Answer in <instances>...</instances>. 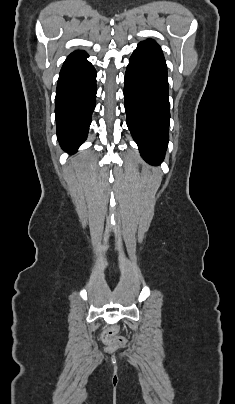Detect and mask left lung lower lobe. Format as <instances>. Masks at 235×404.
I'll use <instances>...</instances> for the list:
<instances>
[{"label":"left lung lower lobe","mask_w":235,"mask_h":404,"mask_svg":"<svg viewBox=\"0 0 235 404\" xmlns=\"http://www.w3.org/2000/svg\"><path fill=\"white\" fill-rule=\"evenodd\" d=\"M169 89L162 50L139 43L125 74L127 126L142 157L152 165L164 158L169 140Z\"/></svg>","instance_id":"1"}]
</instances>
